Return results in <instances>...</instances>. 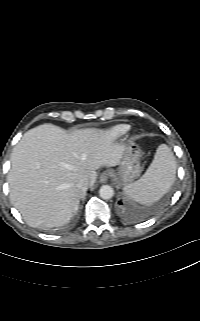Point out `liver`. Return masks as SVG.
<instances>
[{"label":"liver","instance_id":"1","mask_svg":"<svg viewBox=\"0 0 200 321\" xmlns=\"http://www.w3.org/2000/svg\"><path fill=\"white\" fill-rule=\"evenodd\" d=\"M124 146L101 129L69 134L43 124L27 131L11 154L10 200L31 227L52 228L67 223L85 191L80 179L94 185L102 166L119 165Z\"/></svg>","mask_w":200,"mask_h":321}]
</instances>
